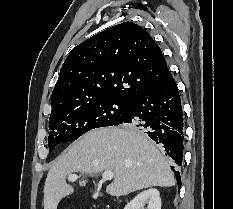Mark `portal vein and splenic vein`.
Listing matches in <instances>:
<instances>
[{
    "label": "portal vein and splenic vein",
    "instance_id": "portal-vein-and-splenic-vein-1",
    "mask_svg": "<svg viewBox=\"0 0 233 209\" xmlns=\"http://www.w3.org/2000/svg\"><path fill=\"white\" fill-rule=\"evenodd\" d=\"M114 174L112 171H105L103 174H102V178L103 180H111L113 178ZM78 179V175L76 174H71L68 176V180L69 181H75Z\"/></svg>",
    "mask_w": 233,
    "mask_h": 209
}]
</instances>
